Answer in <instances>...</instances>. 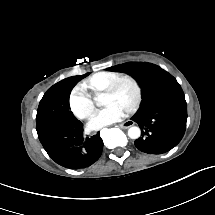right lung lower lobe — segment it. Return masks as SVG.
<instances>
[{
    "label": "right lung lower lobe",
    "instance_id": "1",
    "mask_svg": "<svg viewBox=\"0 0 215 215\" xmlns=\"http://www.w3.org/2000/svg\"><path fill=\"white\" fill-rule=\"evenodd\" d=\"M36 129L50 158L65 168H87L102 154L103 141L99 132L84 138L82 123L46 125Z\"/></svg>",
    "mask_w": 215,
    "mask_h": 215
}]
</instances>
